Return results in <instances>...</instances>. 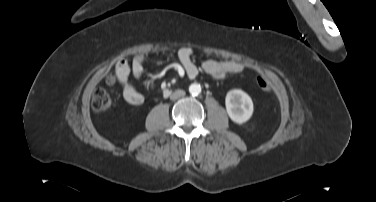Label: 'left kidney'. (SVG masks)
Listing matches in <instances>:
<instances>
[{"instance_id":"1","label":"left kidney","mask_w":376,"mask_h":202,"mask_svg":"<svg viewBox=\"0 0 376 202\" xmlns=\"http://www.w3.org/2000/svg\"><path fill=\"white\" fill-rule=\"evenodd\" d=\"M226 110L232 121L242 124L250 119L253 113L251 97L240 89L230 90L225 98Z\"/></svg>"}]
</instances>
